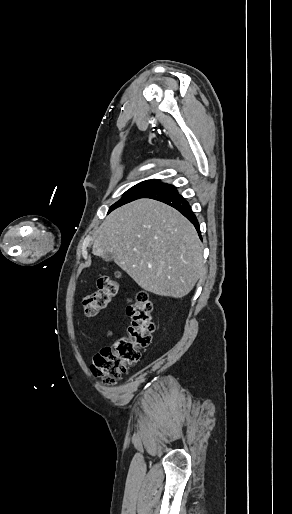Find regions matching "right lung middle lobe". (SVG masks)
<instances>
[{"label": "right lung middle lobe", "instance_id": "right-lung-middle-lobe-1", "mask_svg": "<svg viewBox=\"0 0 292 514\" xmlns=\"http://www.w3.org/2000/svg\"><path fill=\"white\" fill-rule=\"evenodd\" d=\"M158 184H160V180L152 179V180L143 181V182L133 186L132 188H130L129 190H127L124 193V195L122 196V198L119 201H117L115 204H113L111 206L109 212L119 206L126 204V203H129L131 201L142 198L148 191H150L152 188H154Z\"/></svg>", "mask_w": 292, "mask_h": 514}]
</instances>
